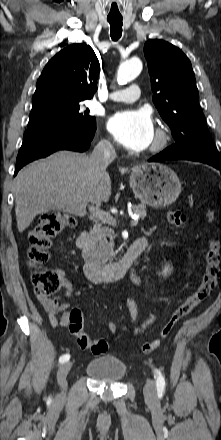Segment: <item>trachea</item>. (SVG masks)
Here are the masks:
<instances>
[{"mask_svg": "<svg viewBox=\"0 0 221 440\" xmlns=\"http://www.w3.org/2000/svg\"><path fill=\"white\" fill-rule=\"evenodd\" d=\"M109 24H110V35L111 38L116 41L118 40L122 35V17H116V18H107Z\"/></svg>", "mask_w": 221, "mask_h": 440, "instance_id": "trachea-1", "label": "trachea"}]
</instances>
